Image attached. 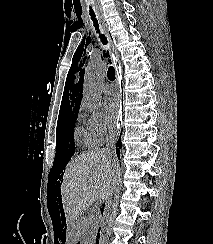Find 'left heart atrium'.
Masks as SVG:
<instances>
[{
  "mask_svg": "<svg viewBox=\"0 0 213 244\" xmlns=\"http://www.w3.org/2000/svg\"><path fill=\"white\" fill-rule=\"evenodd\" d=\"M103 110L105 114V120L110 128H113L120 116V104L117 98H107L103 103Z\"/></svg>",
  "mask_w": 213,
  "mask_h": 244,
  "instance_id": "1",
  "label": "left heart atrium"
}]
</instances>
